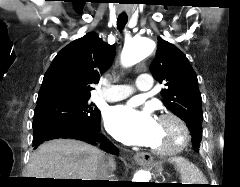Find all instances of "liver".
I'll list each match as a JSON object with an SVG mask.
<instances>
[{
	"instance_id": "1",
	"label": "liver",
	"mask_w": 240,
	"mask_h": 187,
	"mask_svg": "<svg viewBox=\"0 0 240 187\" xmlns=\"http://www.w3.org/2000/svg\"><path fill=\"white\" fill-rule=\"evenodd\" d=\"M104 163L98 148L74 139H55L40 145L30 157L28 178L97 180ZM109 169L115 167L109 159Z\"/></svg>"
}]
</instances>
